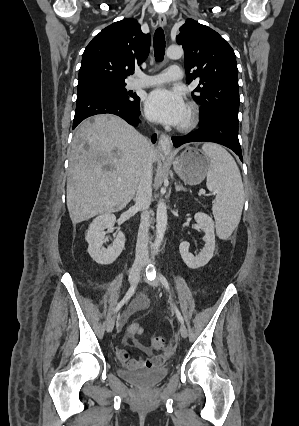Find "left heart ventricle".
Wrapping results in <instances>:
<instances>
[{"mask_svg": "<svg viewBox=\"0 0 299 426\" xmlns=\"http://www.w3.org/2000/svg\"><path fill=\"white\" fill-rule=\"evenodd\" d=\"M187 119H188V110H187L186 117H185V120H184V122H183V123H185V122L187 121ZM183 123H182V124H183Z\"/></svg>", "mask_w": 299, "mask_h": 426, "instance_id": "left-heart-ventricle-1", "label": "left heart ventricle"}]
</instances>
